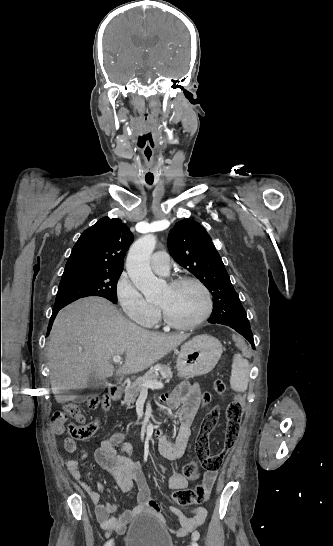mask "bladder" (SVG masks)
Segmentation results:
<instances>
[{
  "label": "bladder",
  "instance_id": "1",
  "mask_svg": "<svg viewBox=\"0 0 333 546\" xmlns=\"http://www.w3.org/2000/svg\"><path fill=\"white\" fill-rule=\"evenodd\" d=\"M126 546H174L164 525L153 515L143 514L129 525Z\"/></svg>",
  "mask_w": 333,
  "mask_h": 546
}]
</instances>
